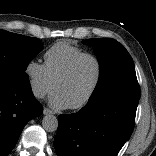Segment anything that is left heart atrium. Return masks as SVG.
<instances>
[{
  "label": "left heart atrium",
  "mask_w": 156,
  "mask_h": 156,
  "mask_svg": "<svg viewBox=\"0 0 156 156\" xmlns=\"http://www.w3.org/2000/svg\"><path fill=\"white\" fill-rule=\"evenodd\" d=\"M49 104L52 108L57 110L66 109L70 107L69 104L66 102V100L58 91H55L51 95L49 99Z\"/></svg>",
  "instance_id": "left-heart-atrium-1"
}]
</instances>
